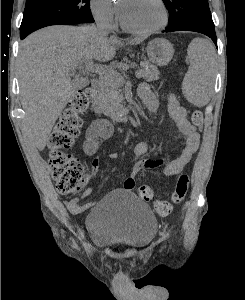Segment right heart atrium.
<instances>
[{
  "mask_svg": "<svg viewBox=\"0 0 245 300\" xmlns=\"http://www.w3.org/2000/svg\"><path fill=\"white\" fill-rule=\"evenodd\" d=\"M93 17L97 22L108 27L117 23V9L111 0H90Z\"/></svg>",
  "mask_w": 245,
  "mask_h": 300,
  "instance_id": "d8ad5b80",
  "label": "right heart atrium"
}]
</instances>
